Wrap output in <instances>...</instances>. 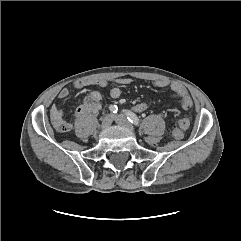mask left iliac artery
I'll return each instance as SVG.
<instances>
[{
  "instance_id": "left-iliac-artery-1",
  "label": "left iliac artery",
  "mask_w": 241,
  "mask_h": 241,
  "mask_svg": "<svg viewBox=\"0 0 241 241\" xmlns=\"http://www.w3.org/2000/svg\"><path fill=\"white\" fill-rule=\"evenodd\" d=\"M124 114L127 116V119L134 124L135 126H139V119L136 116V114H134L133 112L129 111V110H125Z\"/></svg>"
}]
</instances>
